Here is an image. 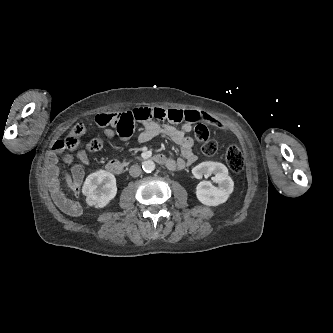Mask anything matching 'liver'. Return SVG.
Wrapping results in <instances>:
<instances>
[{
  "label": "liver",
  "mask_w": 333,
  "mask_h": 333,
  "mask_svg": "<svg viewBox=\"0 0 333 333\" xmlns=\"http://www.w3.org/2000/svg\"><path fill=\"white\" fill-rule=\"evenodd\" d=\"M66 183L71 189H75L77 186L73 185L72 179L69 174H66Z\"/></svg>",
  "instance_id": "liver-1"
}]
</instances>
